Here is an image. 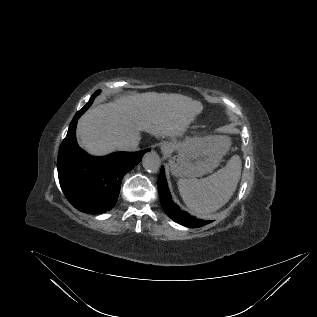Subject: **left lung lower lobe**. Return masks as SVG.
Returning a JSON list of instances; mask_svg holds the SVG:
<instances>
[{
  "label": "left lung lower lobe",
  "instance_id": "1",
  "mask_svg": "<svg viewBox=\"0 0 317 317\" xmlns=\"http://www.w3.org/2000/svg\"><path fill=\"white\" fill-rule=\"evenodd\" d=\"M158 192L162 207L166 214L175 222L187 227H202L212 221H202L182 211L173 201L165 178L164 168L158 178Z\"/></svg>",
  "mask_w": 317,
  "mask_h": 317
}]
</instances>
